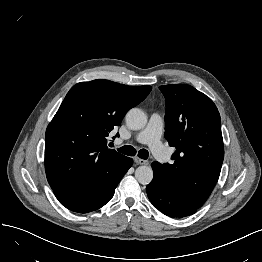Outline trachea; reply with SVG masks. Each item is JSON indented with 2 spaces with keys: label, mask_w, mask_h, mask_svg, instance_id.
<instances>
[{
  "label": "trachea",
  "mask_w": 262,
  "mask_h": 262,
  "mask_svg": "<svg viewBox=\"0 0 262 262\" xmlns=\"http://www.w3.org/2000/svg\"><path fill=\"white\" fill-rule=\"evenodd\" d=\"M118 151L122 154L128 155V156H134L136 154V150L131 145H125L123 147H120ZM149 156V152L146 149H141L138 152V157L142 159H147Z\"/></svg>",
  "instance_id": "3493384b"
}]
</instances>
